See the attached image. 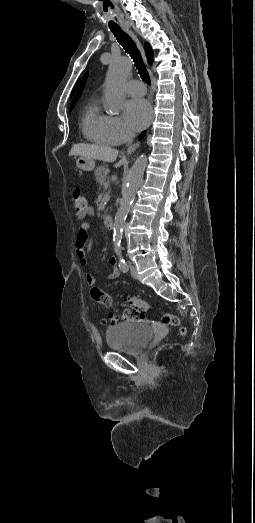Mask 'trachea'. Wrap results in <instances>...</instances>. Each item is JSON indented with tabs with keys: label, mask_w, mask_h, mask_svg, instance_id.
I'll return each mask as SVG.
<instances>
[{
	"label": "trachea",
	"mask_w": 255,
	"mask_h": 523,
	"mask_svg": "<svg viewBox=\"0 0 255 523\" xmlns=\"http://www.w3.org/2000/svg\"><path fill=\"white\" fill-rule=\"evenodd\" d=\"M111 32L116 37L117 42L122 45L124 50L129 53L130 57L133 59L134 64L140 74L143 82L147 85H151V80L148 71L146 70L145 64L141 57L140 51L138 50L135 42L132 38L124 32L120 27H111Z\"/></svg>",
	"instance_id": "obj_1"
}]
</instances>
